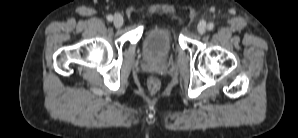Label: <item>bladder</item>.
Here are the masks:
<instances>
[{"mask_svg": "<svg viewBox=\"0 0 298 138\" xmlns=\"http://www.w3.org/2000/svg\"><path fill=\"white\" fill-rule=\"evenodd\" d=\"M176 45L173 29L165 23L149 26L142 39V50L147 59L155 62L165 60Z\"/></svg>", "mask_w": 298, "mask_h": 138, "instance_id": "31cf9c89", "label": "bladder"}]
</instances>
